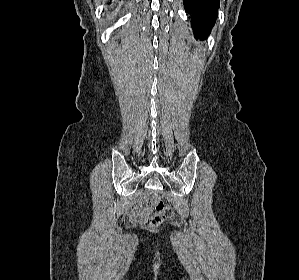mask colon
Instances as JSON below:
<instances>
[{
	"label": "colon",
	"instance_id": "5ec220e1",
	"mask_svg": "<svg viewBox=\"0 0 299 280\" xmlns=\"http://www.w3.org/2000/svg\"><path fill=\"white\" fill-rule=\"evenodd\" d=\"M153 203L156 206L157 212L149 217L146 221L150 228H155L165 221L172 220L174 217V211L172 207L164 202L159 197L153 199Z\"/></svg>",
	"mask_w": 299,
	"mask_h": 280
}]
</instances>
